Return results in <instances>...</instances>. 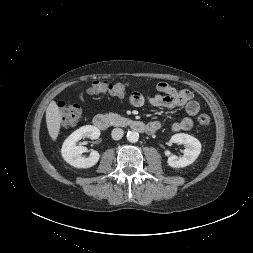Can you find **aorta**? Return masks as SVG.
Segmentation results:
<instances>
[{
    "mask_svg": "<svg viewBox=\"0 0 253 253\" xmlns=\"http://www.w3.org/2000/svg\"><path fill=\"white\" fill-rule=\"evenodd\" d=\"M127 140L131 143H135L139 140V134L136 131L127 132Z\"/></svg>",
    "mask_w": 253,
    "mask_h": 253,
    "instance_id": "aorta-1",
    "label": "aorta"
}]
</instances>
